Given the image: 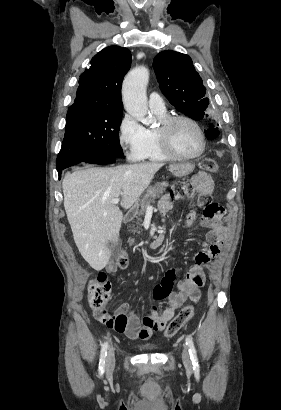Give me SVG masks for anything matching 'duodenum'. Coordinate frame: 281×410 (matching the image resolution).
<instances>
[{
  "instance_id": "obj_1",
  "label": "duodenum",
  "mask_w": 281,
  "mask_h": 410,
  "mask_svg": "<svg viewBox=\"0 0 281 410\" xmlns=\"http://www.w3.org/2000/svg\"><path fill=\"white\" fill-rule=\"evenodd\" d=\"M134 216H135V210L130 209L125 213L123 220L124 222H129L134 218ZM161 244H162V238L159 237L150 243V247L152 249H157L158 247H160Z\"/></svg>"
}]
</instances>
